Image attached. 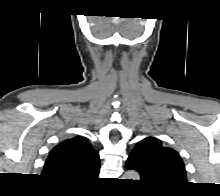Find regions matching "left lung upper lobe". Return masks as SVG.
Returning a JSON list of instances; mask_svg holds the SVG:
<instances>
[{
    "label": "left lung upper lobe",
    "instance_id": "1",
    "mask_svg": "<svg viewBox=\"0 0 220 196\" xmlns=\"http://www.w3.org/2000/svg\"><path fill=\"white\" fill-rule=\"evenodd\" d=\"M126 167L138 171L141 181L162 192H169L187 182L179 154L164 147L155 137H147L137 143L127 159Z\"/></svg>",
    "mask_w": 220,
    "mask_h": 196
}]
</instances>
